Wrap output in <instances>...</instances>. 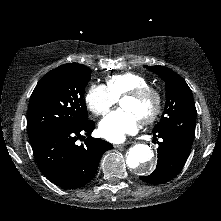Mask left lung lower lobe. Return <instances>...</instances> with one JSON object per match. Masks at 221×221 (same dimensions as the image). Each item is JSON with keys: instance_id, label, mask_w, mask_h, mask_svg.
<instances>
[{"instance_id": "left-lung-lower-lobe-1", "label": "left lung lower lobe", "mask_w": 221, "mask_h": 221, "mask_svg": "<svg viewBox=\"0 0 221 221\" xmlns=\"http://www.w3.org/2000/svg\"><path fill=\"white\" fill-rule=\"evenodd\" d=\"M153 133L154 137L162 140L157 141L159 145L158 163L153 173L140 177V179L150 184H162L174 178L181 171L190 154L191 146L171 133Z\"/></svg>"}]
</instances>
